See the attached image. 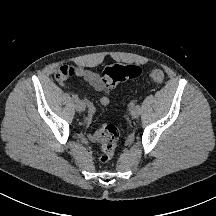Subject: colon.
<instances>
[{"instance_id":"obj_1","label":"colon","mask_w":216,"mask_h":216,"mask_svg":"<svg viewBox=\"0 0 216 216\" xmlns=\"http://www.w3.org/2000/svg\"><path fill=\"white\" fill-rule=\"evenodd\" d=\"M74 74L75 69L73 67L64 65L57 70L55 78L58 82H65ZM140 74L141 68L137 65L113 64L103 69L101 79L104 87L110 91L118 83L136 78ZM149 78L156 85H160L164 81L165 75L161 69L153 67L149 70ZM119 136V130L114 125L108 124L98 129L95 140L100 146L98 154L100 162L106 163L112 159L117 149Z\"/></svg>"}]
</instances>
